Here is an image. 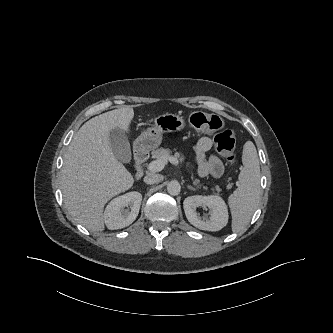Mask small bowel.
<instances>
[{"mask_svg":"<svg viewBox=\"0 0 333 333\" xmlns=\"http://www.w3.org/2000/svg\"><path fill=\"white\" fill-rule=\"evenodd\" d=\"M211 147L212 140L209 137L200 138L193 148V159L199 176L219 178L223 174V165L216 156L207 158V153Z\"/></svg>","mask_w":333,"mask_h":333,"instance_id":"c3829d8e","label":"small bowel"}]
</instances>
